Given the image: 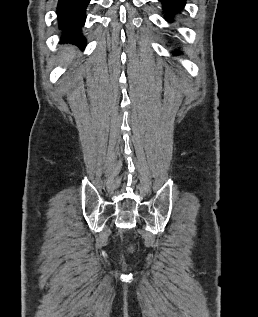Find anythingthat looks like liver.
Here are the masks:
<instances>
[{"label":"liver","instance_id":"6515ba94","mask_svg":"<svg viewBox=\"0 0 258 317\" xmlns=\"http://www.w3.org/2000/svg\"><path fill=\"white\" fill-rule=\"evenodd\" d=\"M75 56V50L73 46H65V50H63V54L60 58V62H70L72 58Z\"/></svg>","mask_w":258,"mask_h":317}]
</instances>
